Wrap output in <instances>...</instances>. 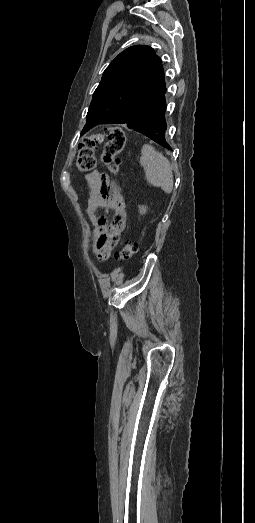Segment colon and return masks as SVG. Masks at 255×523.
I'll use <instances>...</instances> for the list:
<instances>
[{"label":"colon","mask_w":255,"mask_h":523,"mask_svg":"<svg viewBox=\"0 0 255 523\" xmlns=\"http://www.w3.org/2000/svg\"><path fill=\"white\" fill-rule=\"evenodd\" d=\"M105 142L101 160L112 174H120V154L125 146V132L120 127H109L101 133L92 134L82 140L78 147L77 168L80 172L92 171L96 166L95 149L97 145ZM137 247L127 242L117 253L116 257L123 261L133 258Z\"/></svg>","instance_id":"obj_1"}]
</instances>
